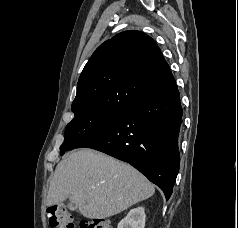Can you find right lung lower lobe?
<instances>
[{
  "label": "right lung lower lobe",
  "mask_w": 238,
  "mask_h": 228,
  "mask_svg": "<svg viewBox=\"0 0 238 228\" xmlns=\"http://www.w3.org/2000/svg\"><path fill=\"white\" fill-rule=\"evenodd\" d=\"M182 115L175 84L134 103L77 148H92L128 162L160 187L168 200L179 171Z\"/></svg>",
  "instance_id": "98d812e1"
}]
</instances>
